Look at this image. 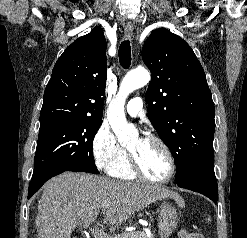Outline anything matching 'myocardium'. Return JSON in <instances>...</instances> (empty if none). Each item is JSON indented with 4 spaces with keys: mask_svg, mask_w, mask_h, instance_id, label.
I'll return each mask as SVG.
<instances>
[{
    "mask_svg": "<svg viewBox=\"0 0 247 238\" xmlns=\"http://www.w3.org/2000/svg\"><path fill=\"white\" fill-rule=\"evenodd\" d=\"M145 139L150 140L152 142H155L164 150V152L168 158V161H169V171H168L167 175L162 177V178L155 179V178L148 177L141 170L135 155L131 151H129V160H130V165H131L132 171L134 172V174L137 178H139L140 180H143L145 182H148V183L162 184V183H166V182L170 181L172 179V177L174 176L175 171H176L175 157L173 155L171 148L169 147V145L164 140H162L158 136L149 135Z\"/></svg>",
    "mask_w": 247,
    "mask_h": 238,
    "instance_id": "myocardium-1",
    "label": "myocardium"
}]
</instances>
